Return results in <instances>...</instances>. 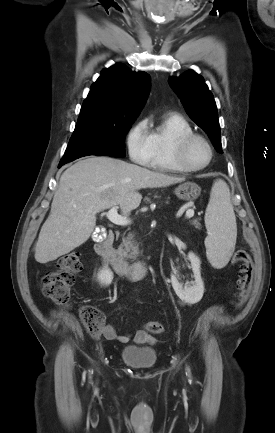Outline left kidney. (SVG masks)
Here are the masks:
<instances>
[{"label":"left kidney","instance_id":"1","mask_svg":"<svg viewBox=\"0 0 275 433\" xmlns=\"http://www.w3.org/2000/svg\"><path fill=\"white\" fill-rule=\"evenodd\" d=\"M188 258L191 262L192 270L194 273L195 281L192 286H183L178 282L175 275H171L172 287L177 296L189 304H195L199 302L204 293V284L201 278L200 272V259L192 252L188 254Z\"/></svg>","mask_w":275,"mask_h":433}]
</instances>
